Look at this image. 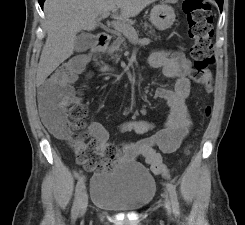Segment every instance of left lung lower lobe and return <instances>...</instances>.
I'll list each match as a JSON object with an SVG mask.
<instances>
[{
  "instance_id": "0a47b994",
  "label": "left lung lower lobe",
  "mask_w": 245,
  "mask_h": 225,
  "mask_svg": "<svg viewBox=\"0 0 245 225\" xmlns=\"http://www.w3.org/2000/svg\"><path fill=\"white\" fill-rule=\"evenodd\" d=\"M216 2L218 3L220 10L222 11V8H223V0H216Z\"/></svg>"
}]
</instances>
